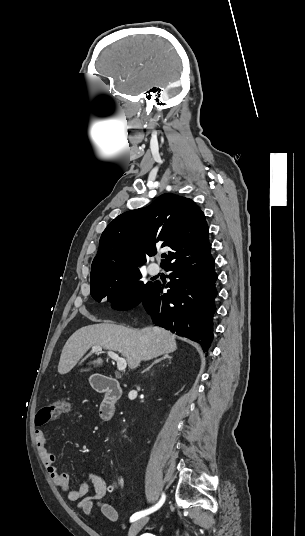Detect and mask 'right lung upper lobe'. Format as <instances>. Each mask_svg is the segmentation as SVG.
I'll list each match as a JSON object with an SVG mask.
<instances>
[{"instance_id":"obj_1","label":"right lung upper lobe","mask_w":305,"mask_h":536,"mask_svg":"<svg viewBox=\"0 0 305 536\" xmlns=\"http://www.w3.org/2000/svg\"><path fill=\"white\" fill-rule=\"evenodd\" d=\"M208 226L195 203L166 193L151 205L117 216L104 230L91 266L90 282L139 270L157 248L170 247L161 267L209 245Z\"/></svg>"}]
</instances>
